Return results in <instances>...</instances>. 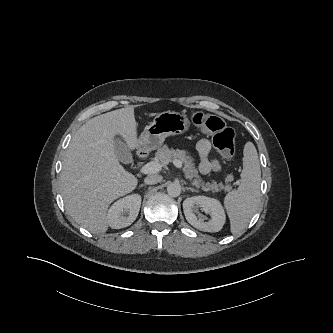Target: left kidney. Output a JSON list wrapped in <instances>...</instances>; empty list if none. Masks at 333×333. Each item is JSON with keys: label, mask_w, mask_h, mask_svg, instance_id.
Returning <instances> with one entry per match:
<instances>
[{"label": "left kidney", "mask_w": 333, "mask_h": 333, "mask_svg": "<svg viewBox=\"0 0 333 333\" xmlns=\"http://www.w3.org/2000/svg\"><path fill=\"white\" fill-rule=\"evenodd\" d=\"M199 208L210 215V220L199 212ZM183 211L186 220L193 227L204 232H218L222 229L226 215L221 203L214 198L206 196H193L183 202Z\"/></svg>", "instance_id": "1"}]
</instances>
